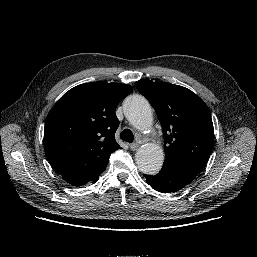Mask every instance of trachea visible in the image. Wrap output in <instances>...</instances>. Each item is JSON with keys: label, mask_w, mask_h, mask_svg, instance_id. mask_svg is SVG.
I'll return each mask as SVG.
<instances>
[{"label": "trachea", "mask_w": 257, "mask_h": 257, "mask_svg": "<svg viewBox=\"0 0 257 257\" xmlns=\"http://www.w3.org/2000/svg\"><path fill=\"white\" fill-rule=\"evenodd\" d=\"M120 138L125 142L131 143L134 140V135L130 129H124L120 134Z\"/></svg>", "instance_id": "trachea-1"}]
</instances>
